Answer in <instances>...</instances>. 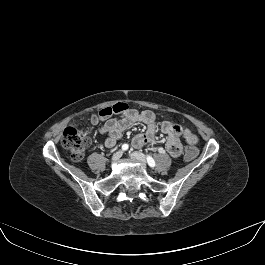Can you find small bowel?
Returning a JSON list of instances; mask_svg holds the SVG:
<instances>
[{"label": "small bowel", "instance_id": "obj_1", "mask_svg": "<svg viewBox=\"0 0 265 265\" xmlns=\"http://www.w3.org/2000/svg\"><path fill=\"white\" fill-rule=\"evenodd\" d=\"M138 122L146 124L147 130L144 133L136 135L132 140V145L138 148L154 143L158 128L156 114L151 110L138 111L136 109H129L121 116L109 119L100 126V133L107 135L105 145L108 148L114 147L122 134ZM160 128L167 136L166 150L174 158L179 157L182 153L181 139L189 145L197 143V136L191 130L183 128L178 123L163 121Z\"/></svg>", "mask_w": 265, "mask_h": 265}]
</instances>
